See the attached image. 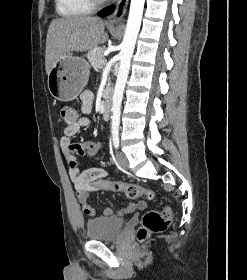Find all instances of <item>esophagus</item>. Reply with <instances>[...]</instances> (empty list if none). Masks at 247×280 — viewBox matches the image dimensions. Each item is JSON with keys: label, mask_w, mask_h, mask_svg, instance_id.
Listing matches in <instances>:
<instances>
[{"label": "esophagus", "mask_w": 247, "mask_h": 280, "mask_svg": "<svg viewBox=\"0 0 247 280\" xmlns=\"http://www.w3.org/2000/svg\"><path fill=\"white\" fill-rule=\"evenodd\" d=\"M129 0H118L113 13L108 18L109 24H115L122 20L124 17Z\"/></svg>", "instance_id": "esophagus-1"}]
</instances>
